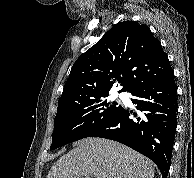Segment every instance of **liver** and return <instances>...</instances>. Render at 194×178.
Wrapping results in <instances>:
<instances>
[{"label":"liver","instance_id":"obj_1","mask_svg":"<svg viewBox=\"0 0 194 178\" xmlns=\"http://www.w3.org/2000/svg\"><path fill=\"white\" fill-rule=\"evenodd\" d=\"M153 163L133 149L103 138H86L51 167L47 178H154Z\"/></svg>","mask_w":194,"mask_h":178}]
</instances>
